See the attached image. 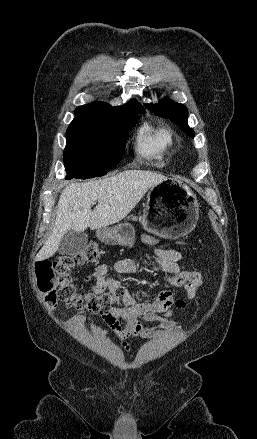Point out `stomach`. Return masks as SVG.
I'll list each match as a JSON object with an SVG mask.
<instances>
[{"label":"stomach","instance_id":"1","mask_svg":"<svg viewBox=\"0 0 257 439\" xmlns=\"http://www.w3.org/2000/svg\"><path fill=\"white\" fill-rule=\"evenodd\" d=\"M199 204L196 195L182 181L167 178L151 187L140 222L155 235L177 239L189 234L196 226ZM98 238L107 244L132 247L134 227L120 223L97 230Z\"/></svg>","mask_w":257,"mask_h":439}]
</instances>
